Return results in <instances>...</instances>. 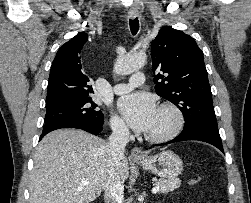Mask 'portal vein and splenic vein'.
I'll return each instance as SVG.
<instances>
[{
	"label": "portal vein and splenic vein",
	"instance_id": "1",
	"mask_svg": "<svg viewBox=\"0 0 251 203\" xmlns=\"http://www.w3.org/2000/svg\"><path fill=\"white\" fill-rule=\"evenodd\" d=\"M84 183L87 184L88 181H85ZM159 190H160V186H159V185H156V186L152 189V193H153V194H156L157 192H159Z\"/></svg>",
	"mask_w": 251,
	"mask_h": 203
}]
</instances>
